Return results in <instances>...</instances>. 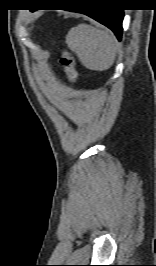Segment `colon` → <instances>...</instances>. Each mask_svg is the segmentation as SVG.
<instances>
[{"label": "colon", "mask_w": 156, "mask_h": 266, "mask_svg": "<svg viewBox=\"0 0 156 266\" xmlns=\"http://www.w3.org/2000/svg\"><path fill=\"white\" fill-rule=\"evenodd\" d=\"M60 64L64 68L69 81L74 82L77 78L74 59L68 51H63L60 57Z\"/></svg>", "instance_id": "colon-1"}]
</instances>
